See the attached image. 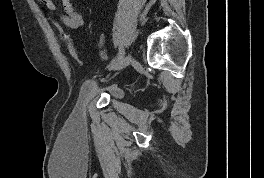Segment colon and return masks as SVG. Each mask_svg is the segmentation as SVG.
<instances>
[{
	"label": "colon",
	"mask_w": 264,
	"mask_h": 178,
	"mask_svg": "<svg viewBox=\"0 0 264 178\" xmlns=\"http://www.w3.org/2000/svg\"><path fill=\"white\" fill-rule=\"evenodd\" d=\"M55 27L59 30L60 34H61V38L63 39V41L65 42L68 51L70 52V54L78 61V62H82V57L77 49V47L75 46L71 36L65 32L61 26L57 23L54 22Z\"/></svg>",
	"instance_id": "obj_1"
}]
</instances>
